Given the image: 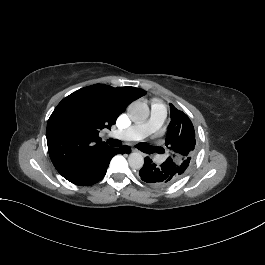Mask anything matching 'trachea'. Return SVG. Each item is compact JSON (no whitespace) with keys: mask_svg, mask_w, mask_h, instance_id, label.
Segmentation results:
<instances>
[{"mask_svg":"<svg viewBox=\"0 0 265 265\" xmlns=\"http://www.w3.org/2000/svg\"><path fill=\"white\" fill-rule=\"evenodd\" d=\"M107 142L112 147H120L122 145V143L119 140H115V139H109ZM137 147L143 152L151 151V148L148 150V146L144 144H140Z\"/></svg>","mask_w":265,"mask_h":265,"instance_id":"obj_1","label":"trachea"}]
</instances>
